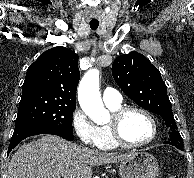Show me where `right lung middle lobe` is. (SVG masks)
<instances>
[{
    "label": "right lung middle lobe",
    "mask_w": 194,
    "mask_h": 178,
    "mask_svg": "<svg viewBox=\"0 0 194 178\" xmlns=\"http://www.w3.org/2000/svg\"><path fill=\"white\" fill-rule=\"evenodd\" d=\"M76 103L60 98L37 97L21 100L15 129L42 126L72 133V116Z\"/></svg>",
    "instance_id": "1"
}]
</instances>
